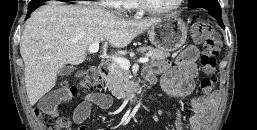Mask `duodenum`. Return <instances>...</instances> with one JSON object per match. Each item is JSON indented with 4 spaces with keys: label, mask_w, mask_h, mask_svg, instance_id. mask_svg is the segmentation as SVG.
Segmentation results:
<instances>
[{
    "label": "duodenum",
    "mask_w": 257,
    "mask_h": 130,
    "mask_svg": "<svg viewBox=\"0 0 257 130\" xmlns=\"http://www.w3.org/2000/svg\"><path fill=\"white\" fill-rule=\"evenodd\" d=\"M98 71H99V75L104 79L106 78L109 73H110V66L108 63H102L99 68H98ZM138 102V99H135L131 102V105L134 106L136 105Z\"/></svg>",
    "instance_id": "410a0bca"
}]
</instances>
